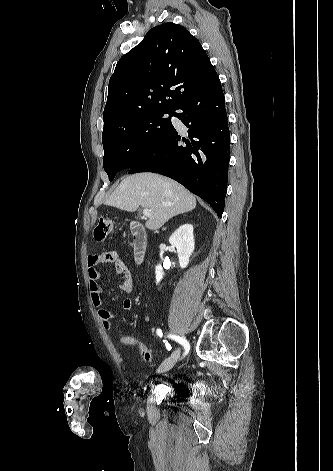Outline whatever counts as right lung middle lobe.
<instances>
[{
    "label": "right lung middle lobe",
    "mask_w": 333,
    "mask_h": 471,
    "mask_svg": "<svg viewBox=\"0 0 333 471\" xmlns=\"http://www.w3.org/2000/svg\"><path fill=\"white\" fill-rule=\"evenodd\" d=\"M173 111L158 109L139 112L111 124L102 133L104 148L103 167L112 181L115 175L130 168L171 129Z\"/></svg>",
    "instance_id": "obj_1"
}]
</instances>
